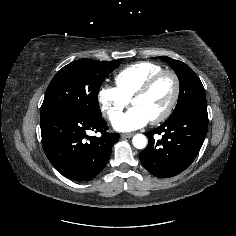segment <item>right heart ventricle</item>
I'll return each instance as SVG.
<instances>
[{
  "label": "right heart ventricle",
  "instance_id": "right-heart-ventricle-1",
  "mask_svg": "<svg viewBox=\"0 0 236 236\" xmlns=\"http://www.w3.org/2000/svg\"><path fill=\"white\" fill-rule=\"evenodd\" d=\"M161 71L163 67L156 63H136L117 73L115 83L120 93L129 100L148 79Z\"/></svg>",
  "mask_w": 236,
  "mask_h": 236
}]
</instances>
